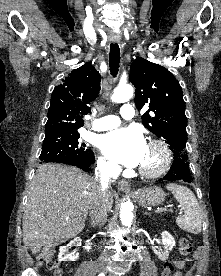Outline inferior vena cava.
Listing matches in <instances>:
<instances>
[{
  "instance_id": "602c4592",
  "label": "inferior vena cava",
  "mask_w": 221,
  "mask_h": 276,
  "mask_svg": "<svg viewBox=\"0 0 221 276\" xmlns=\"http://www.w3.org/2000/svg\"><path fill=\"white\" fill-rule=\"evenodd\" d=\"M119 174V167L109 163H100L96 168V192L89 208L91 222L102 226L107 221L108 205L105 199L106 191L111 178H116Z\"/></svg>"
}]
</instances>
